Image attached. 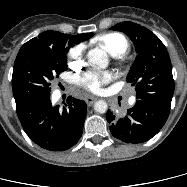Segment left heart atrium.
Returning <instances> with one entry per match:
<instances>
[{"mask_svg": "<svg viewBox=\"0 0 187 187\" xmlns=\"http://www.w3.org/2000/svg\"><path fill=\"white\" fill-rule=\"evenodd\" d=\"M113 77L111 72H90L81 79V84L85 89L99 93L104 85L112 81Z\"/></svg>", "mask_w": 187, "mask_h": 187, "instance_id": "1", "label": "left heart atrium"}]
</instances>
